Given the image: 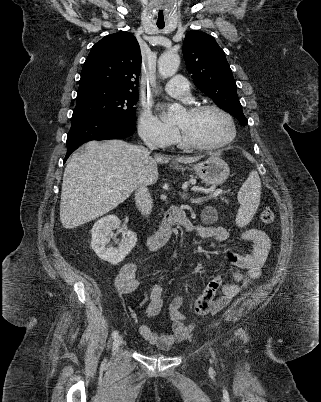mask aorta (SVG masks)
Returning a JSON list of instances; mask_svg holds the SVG:
<instances>
[{
	"label": "aorta",
	"instance_id": "1",
	"mask_svg": "<svg viewBox=\"0 0 321 402\" xmlns=\"http://www.w3.org/2000/svg\"><path fill=\"white\" fill-rule=\"evenodd\" d=\"M180 65V57L174 51H167L163 53L158 60V71L161 77L168 78L173 76ZM182 109L178 104L168 105L167 118H174L176 114Z\"/></svg>",
	"mask_w": 321,
	"mask_h": 402
}]
</instances>
